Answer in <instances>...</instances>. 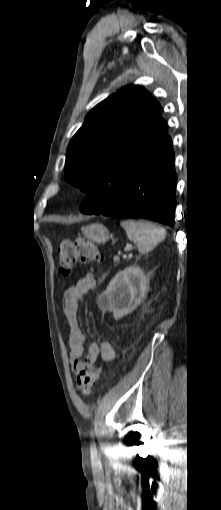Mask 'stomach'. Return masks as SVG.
I'll return each instance as SVG.
<instances>
[{
    "instance_id": "stomach-1",
    "label": "stomach",
    "mask_w": 221,
    "mask_h": 510,
    "mask_svg": "<svg viewBox=\"0 0 221 510\" xmlns=\"http://www.w3.org/2000/svg\"><path fill=\"white\" fill-rule=\"evenodd\" d=\"M83 235L98 244L105 243L109 240L111 235L109 234L108 229L99 223H94L85 227H82Z\"/></svg>"
}]
</instances>
